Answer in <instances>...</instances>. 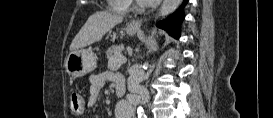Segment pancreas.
Masks as SVG:
<instances>
[{"instance_id":"obj_1","label":"pancreas","mask_w":273,"mask_h":118,"mask_svg":"<svg viewBox=\"0 0 273 118\" xmlns=\"http://www.w3.org/2000/svg\"><path fill=\"white\" fill-rule=\"evenodd\" d=\"M123 48L119 45H113L109 47L106 51V55L108 59H112L116 56L122 55Z\"/></svg>"}]
</instances>
